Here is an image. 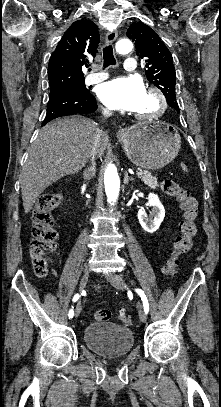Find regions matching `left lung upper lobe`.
<instances>
[{
	"mask_svg": "<svg viewBox=\"0 0 221 407\" xmlns=\"http://www.w3.org/2000/svg\"><path fill=\"white\" fill-rule=\"evenodd\" d=\"M127 36L135 42L137 55L145 59L147 79L163 92L167 103L179 112L173 58L164 42L142 22L133 23L127 30Z\"/></svg>",
	"mask_w": 221,
	"mask_h": 407,
	"instance_id": "5c2ea615",
	"label": "left lung upper lobe"
}]
</instances>
